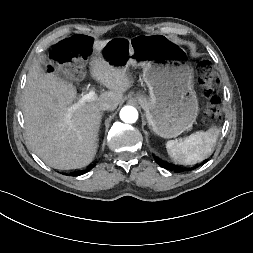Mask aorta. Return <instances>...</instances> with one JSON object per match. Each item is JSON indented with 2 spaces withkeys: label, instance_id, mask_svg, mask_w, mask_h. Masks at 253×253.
I'll list each match as a JSON object with an SVG mask.
<instances>
[{
  "label": "aorta",
  "instance_id": "762f6f07",
  "mask_svg": "<svg viewBox=\"0 0 253 253\" xmlns=\"http://www.w3.org/2000/svg\"><path fill=\"white\" fill-rule=\"evenodd\" d=\"M120 118L125 123H135L138 120V111L133 106H125L120 111Z\"/></svg>",
  "mask_w": 253,
  "mask_h": 253
}]
</instances>
